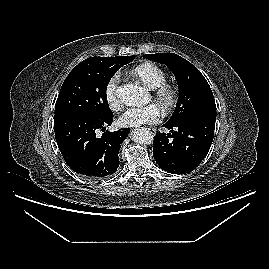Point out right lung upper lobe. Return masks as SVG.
<instances>
[{
	"label": "right lung upper lobe",
	"instance_id": "right-lung-upper-lobe-1",
	"mask_svg": "<svg viewBox=\"0 0 269 269\" xmlns=\"http://www.w3.org/2000/svg\"><path fill=\"white\" fill-rule=\"evenodd\" d=\"M121 57H124V56L108 57V58H121ZM94 58H100V57H90V58H87V59H85V60H91V59H94Z\"/></svg>",
	"mask_w": 269,
	"mask_h": 269
}]
</instances>
